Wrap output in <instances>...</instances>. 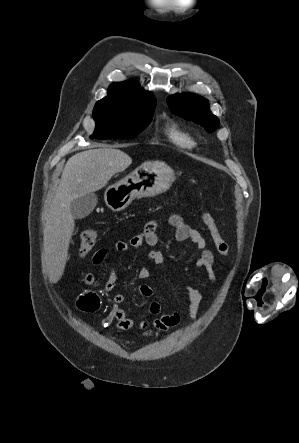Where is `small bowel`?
Instances as JSON below:
<instances>
[{
  "label": "small bowel",
  "instance_id": "c3829d8e",
  "mask_svg": "<svg viewBox=\"0 0 299 443\" xmlns=\"http://www.w3.org/2000/svg\"><path fill=\"white\" fill-rule=\"evenodd\" d=\"M169 224L175 230V238L177 241H191L200 251V256L197 259L196 265L204 273V278L196 287H187L189 299L188 316L190 320L194 321L198 316L203 288L207 282L213 283L215 281L214 257L212 252L208 249L206 241L201 233L187 225L180 215H171L169 217ZM158 236L159 228L157 222L150 221L145 224L143 230L139 234L133 236L129 241H117L114 243L113 247L116 251L122 253L128 252L130 248H140L144 245L154 247L158 242ZM106 254L107 252L105 249L97 251L92 257L93 264H102ZM148 260L156 265H162L164 263V256L161 251L152 250L148 253ZM136 275L140 280H148L151 277L150 271L146 268L138 269ZM83 281L87 286L92 288L100 286L98 278L91 273H87L84 276ZM116 283L117 272L115 268H112L108 279L104 284V291L111 294L113 306L104 318V324L113 325L117 331H126L137 328L139 329L138 337L142 338L151 336L154 330L168 332L179 323L180 316L178 312L163 313L161 305L155 301L152 302L148 308L151 317L139 323L135 322L120 307L125 301V295L115 291ZM139 293L142 296L151 297L153 295V290L148 284H141L139 286ZM77 306L80 310L85 312L93 313L98 311L100 308L98 294L93 290L83 292L78 298Z\"/></svg>",
  "mask_w": 299,
  "mask_h": 443
}]
</instances>
